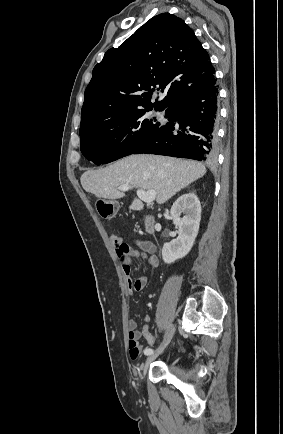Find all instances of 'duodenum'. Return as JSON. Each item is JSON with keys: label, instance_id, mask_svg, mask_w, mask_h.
<instances>
[{"label": "duodenum", "instance_id": "obj_1", "mask_svg": "<svg viewBox=\"0 0 283 434\" xmlns=\"http://www.w3.org/2000/svg\"><path fill=\"white\" fill-rule=\"evenodd\" d=\"M155 222L152 216L146 215L145 216V229L148 233H153L155 230Z\"/></svg>", "mask_w": 283, "mask_h": 434}]
</instances>
